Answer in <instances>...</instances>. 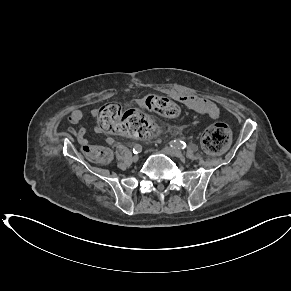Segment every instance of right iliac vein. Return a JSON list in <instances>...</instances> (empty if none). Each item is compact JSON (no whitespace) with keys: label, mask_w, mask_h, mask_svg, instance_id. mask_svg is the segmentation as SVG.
<instances>
[{"label":"right iliac vein","mask_w":291,"mask_h":291,"mask_svg":"<svg viewBox=\"0 0 291 291\" xmlns=\"http://www.w3.org/2000/svg\"><path fill=\"white\" fill-rule=\"evenodd\" d=\"M132 159L134 162H136L139 159V155H134Z\"/></svg>","instance_id":"63e3f726"}]
</instances>
